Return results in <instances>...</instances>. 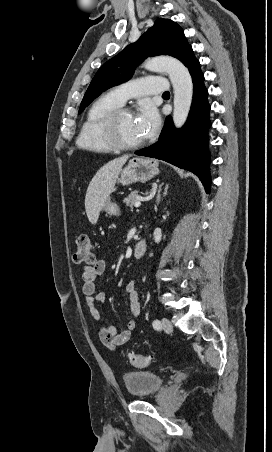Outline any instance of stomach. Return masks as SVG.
I'll return each mask as SVG.
<instances>
[{
	"label": "stomach",
	"mask_w": 272,
	"mask_h": 452,
	"mask_svg": "<svg viewBox=\"0 0 272 452\" xmlns=\"http://www.w3.org/2000/svg\"><path fill=\"white\" fill-rule=\"evenodd\" d=\"M159 173L158 162L154 159L135 157L129 160L128 164L121 170L118 181L122 185H129L135 182H146ZM102 210L111 216H119L120 208L116 203L107 199Z\"/></svg>",
	"instance_id": "obj_1"
}]
</instances>
